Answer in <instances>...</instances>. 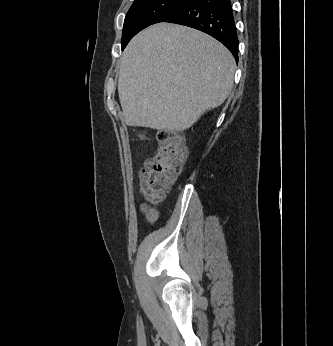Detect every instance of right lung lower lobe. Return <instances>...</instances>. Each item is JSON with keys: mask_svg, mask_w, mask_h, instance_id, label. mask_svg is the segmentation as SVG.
I'll use <instances>...</instances> for the list:
<instances>
[{"mask_svg": "<svg viewBox=\"0 0 333 346\" xmlns=\"http://www.w3.org/2000/svg\"><path fill=\"white\" fill-rule=\"evenodd\" d=\"M163 22L189 26L211 35L238 61V37L231 0H184Z\"/></svg>", "mask_w": 333, "mask_h": 346, "instance_id": "right-lung-lower-lobe-1", "label": "right lung lower lobe"}]
</instances>
